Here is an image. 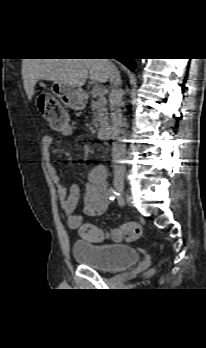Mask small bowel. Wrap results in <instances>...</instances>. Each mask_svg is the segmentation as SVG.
Returning <instances> with one entry per match:
<instances>
[{
  "mask_svg": "<svg viewBox=\"0 0 206 348\" xmlns=\"http://www.w3.org/2000/svg\"><path fill=\"white\" fill-rule=\"evenodd\" d=\"M53 139L54 137L51 133H46L42 138V144L48 158ZM48 171L52 181L56 185L60 206L70 228L77 229L82 226L83 216L98 217L109 207L110 201L107 191L106 175L102 166H94L87 176L83 215L75 213L80 195L78 186L73 184L67 187L62 181L60 174L51 163L48 164Z\"/></svg>",
  "mask_w": 206,
  "mask_h": 348,
  "instance_id": "obj_1",
  "label": "small bowel"
}]
</instances>
